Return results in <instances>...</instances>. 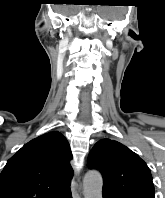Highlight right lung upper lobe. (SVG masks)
Returning <instances> with one entry per match:
<instances>
[{
    "instance_id": "cb5924a9",
    "label": "right lung upper lobe",
    "mask_w": 165,
    "mask_h": 198,
    "mask_svg": "<svg viewBox=\"0 0 165 198\" xmlns=\"http://www.w3.org/2000/svg\"><path fill=\"white\" fill-rule=\"evenodd\" d=\"M71 151L59 132L45 133L24 145L0 174V198H66L73 170Z\"/></svg>"
}]
</instances>
